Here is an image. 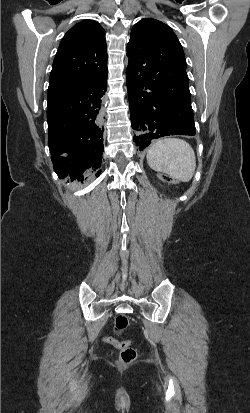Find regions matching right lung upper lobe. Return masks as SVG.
<instances>
[{
    "label": "right lung upper lobe",
    "instance_id": "1",
    "mask_svg": "<svg viewBox=\"0 0 250 413\" xmlns=\"http://www.w3.org/2000/svg\"><path fill=\"white\" fill-rule=\"evenodd\" d=\"M107 71L105 30L93 20H83L63 37L53 62L48 92L96 79Z\"/></svg>",
    "mask_w": 250,
    "mask_h": 413
}]
</instances>
